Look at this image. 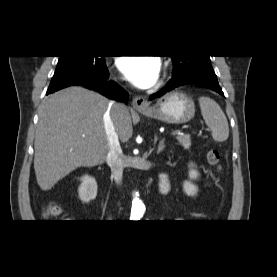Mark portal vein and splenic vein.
Returning a JSON list of instances; mask_svg holds the SVG:
<instances>
[{
	"mask_svg": "<svg viewBox=\"0 0 277 277\" xmlns=\"http://www.w3.org/2000/svg\"><path fill=\"white\" fill-rule=\"evenodd\" d=\"M181 134H182V132L179 131V130L173 131V132L171 133L172 136H178V135H181Z\"/></svg>",
	"mask_w": 277,
	"mask_h": 277,
	"instance_id": "1",
	"label": "portal vein and splenic vein"
}]
</instances>
